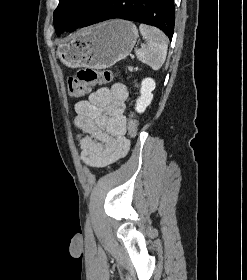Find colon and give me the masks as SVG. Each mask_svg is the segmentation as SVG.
I'll use <instances>...</instances> for the list:
<instances>
[{"label":"colon","instance_id":"obj_1","mask_svg":"<svg viewBox=\"0 0 247 280\" xmlns=\"http://www.w3.org/2000/svg\"><path fill=\"white\" fill-rule=\"evenodd\" d=\"M113 73L110 70H98L94 68L80 69L75 76H70L67 81L68 93L73 97H80L90 91L93 86L105 84L112 80ZM128 134L135 138L138 133V121L132 113L127 124Z\"/></svg>","mask_w":247,"mask_h":280}]
</instances>
